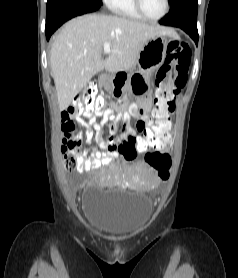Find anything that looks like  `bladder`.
Returning <instances> with one entry per match:
<instances>
[{
	"label": "bladder",
	"instance_id": "obj_1",
	"mask_svg": "<svg viewBox=\"0 0 238 278\" xmlns=\"http://www.w3.org/2000/svg\"><path fill=\"white\" fill-rule=\"evenodd\" d=\"M152 216L151 200L144 194L122 188L89 186L84 197L88 226L106 236L122 238L141 231Z\"/></svg>",
	"mask_w": 238,
	"mask_h": 278
}]
</instances>
